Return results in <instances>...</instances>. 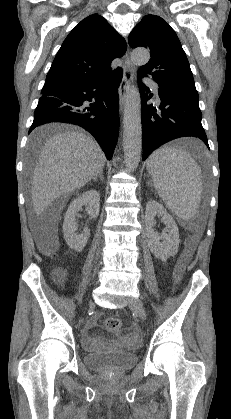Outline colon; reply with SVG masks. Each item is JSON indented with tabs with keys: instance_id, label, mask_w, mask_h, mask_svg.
Here are the masks:
<instances>
[{
	"instance_id": "1",
	"label": "colon",
	"mask_w": 231,
	"mask_h": 419,
	"mask_svg": "<svg viewBox=\"0 0 231 419\" xmlns=\"http://www.w3.org/2000/svg\"><path fill=\"white\" fill-rule=\"evenodd\" d=\"M106 329L113 334H120L122 332V323L116 317H110L105 321Z\"/></svg>"
}]
</instances>
